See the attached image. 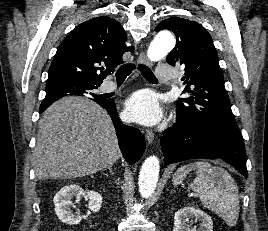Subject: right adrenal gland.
Segmentation results:
<instances>
[{
    "mask_svg": "<svg viewBox=\"0 0 268 231\" xmlns=\"http://www.w3.org/2000/svg\"><path fill=\"white\" fill-rule=\"evenodd\" d=\"M112 166H113V164L107 166L106 168L102 169L101 171L103 172V171H105V170H109V172H110L111 174H114V173H113V170H112Z\"/></svg>",
    "mask_w": 268,
    "mask_h": 231,
    "instance_id": "right-adrenal-gland-1",
    "label": "right adrenal gland"
}]
</instances>
